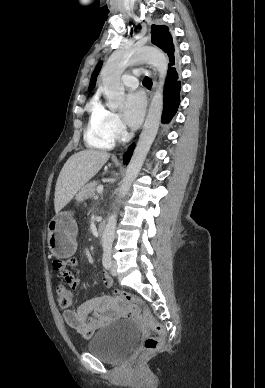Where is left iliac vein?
I'll return each instance as SVG.
<instances>
[{
	"label": "left iliac vein",
	"instance_id": "1",
	"mask_svg": "<svg viewBox=\"0 0 265 388\" xmlns=\"http://www.w3.org/2000/svg\"><path fill=\"white\" fill-rule=\"evenodd\" d=\"M110 272L113 276L117 275V262L115 260L111 262Z\"/></svg>",
	"mask_w": 265,
	"mask_h": 388
}]
</instances>
